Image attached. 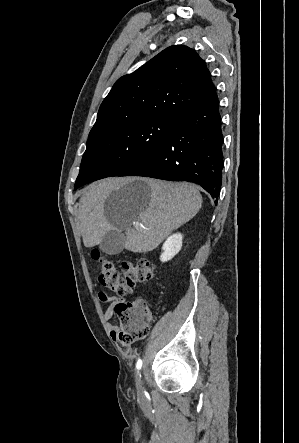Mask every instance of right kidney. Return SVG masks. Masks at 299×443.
I'll return each instance as SVG.
<instances>
[{
    "mask_svg": "<svg viewBox=\"0 0 299 443\" xmlns=\"http://www.w3.org/2000/svg\"><path fill=\"white\" fill-rule=\"evenodd\" d=\"M183 236L180 233L173 234L167 238L162 247V254L160 260L162 262H167L171 260L182 247Z\"/></svg>",
    "mask_w": 299,
    "mask_h": 443,
    "instance_id": "1",
    "label": "right kidney"
}]
</instances>
